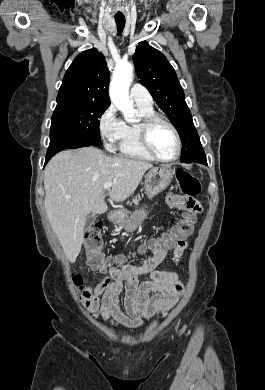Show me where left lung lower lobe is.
I'll use <instances>...</instances> for the list:
<instances>
[{"instance_id": "obj_1", "label": "left lung lower lobe", "mask_w": 265, "mask_h": 390, "mask_svg": "<svg viewBox=\"0 0 265 390\" xmlns=\"http://www.w3.org/2000/svg\"><path fill=\"white\" fill-rule=\"evenodd\" d=\"M192 162H198V163L207 165L205 153L198 155Z\"/></svg>"}]
</instances>
